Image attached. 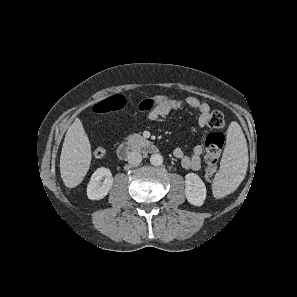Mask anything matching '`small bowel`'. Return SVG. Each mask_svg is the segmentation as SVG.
Listing matches in <instances>:
<instances>
[{
	"instance_id": "small-bowel-1",
	"label": "small bowel",
	"mask_w": 297,
	"mask_h": 297,
	"mask_svg": "<svg viewBox=\"0 0 297 297\" xmlns=\"http://www.w3.org/2000/svg\"><path fill=\"white\" fill-rule=\"evenodd\" d=\"M188 106L199 112L198 123L201 127L207 125L210 115V106L195 96H187L184 99L168 98L154 105L147 112V117L153 121L163 120L171 111ZM174 156L181 161V165L185 169L198 171L201 168V156L203 149L201 146H195L191 155H186L184 151L177 147L174 149Z\"/></svg>"
}]
</instances>
